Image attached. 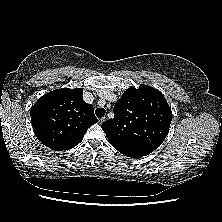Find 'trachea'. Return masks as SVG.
Returning <instances> with one entry per match:
<instances>
[{
    "instance_id": "obj_1",
    "label": "trachea",
    "mask_w": 222,
    "mask_h": 222,
    "mask_svg": "<svg viewBox=\"0 0 222 222\" xmlns=\"http://www.w3.org/2000/svg\"><path fill=\"white\" fill-rule=\"evenodd\" d=\"M95 114L99 118L104 117L105 109L104 108H97L96 111H95Z\"/></svg>"
}]
</instances>
